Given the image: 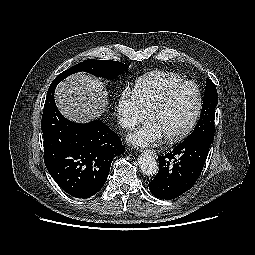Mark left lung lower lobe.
<instances>
[{
    "mask_svg": "<svg viewBox=\"0 0 255 255\" xmlns=\"http://www.w3.org/2000/svg\"><path fill=\"white\" fill-rule=\"evenodd\" d=\"M214 132L203 131L186 138L159 160V172L149 183L151 193L160 199H173L189 190L200 176Z\"/></svg>",
    "mask_w": 255,
    "mask_h": 255,
    "instance_id": "left-lung-lower-lobe-1",
    "label": "left lung lower lobe"
}]
</instances>
